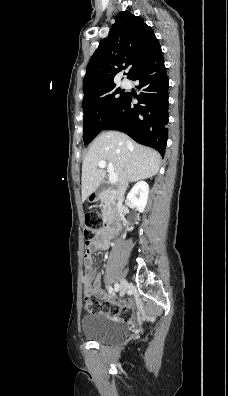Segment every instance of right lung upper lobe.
Segmentation results:
<instances>
[{
    "label": "right lung upper lobe",
    "instance_id": "obj_1",
    "mask_svg": "<svg viewBox=\"0 0 228 396\" xmlns=\"http://www.w3.org/2000/svg\"><path fill=\"white\" fill-rule=\"evenodd\" d=\"M107 39L92 55L84 77V96L114 85V77L129 67L132 79L160 45L153 30L129 11L117 14Z\"/></svg>",
    "mask_w": 228,
    "mask_h": 396
}]
</instances>
